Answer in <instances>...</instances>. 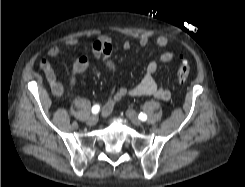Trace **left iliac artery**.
<instances>
[{
	"instance_id": "obj_1",
	"label": "left iliac artery",
	"mask_w": 245,
	"mask_h": 187,
	"mask_svg": "<svg viewBox=\"0 0 245 187\" xmlns=\"http://www.w3.org/2000/svg\"><path fill=\"white\" fill-rule=\"evenodd\" d=\"M139 119H140L141 121H146V120H147V115L144 114V113H140V114H139Z\"/></svg>"
}]
</instances>
